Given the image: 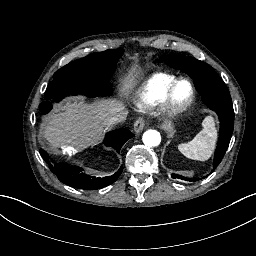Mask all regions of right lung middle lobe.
Instances as JSON below:
<instances>
[{
    "label": "right lung middle lobe",
    "mask_w": 256,
    "mask_h": 256,
    "mask_svg": "<svg viewBox=\"0 0 256 256\" xmlns=\"http://www.w3.org/2000/svg\"><path fill=\"white\" fill-rule=\"evenodd\" d=\"M122 54L123 49L92 53L59 69L55 72L53 81L48 84L44 95L46 101L39 106L41 112L46 113L52 107L51 102H58L71 94L87 96L111 94L107 80Z\"/></svg>",
    "instance_id": "obj_1"
}]
</instances>
